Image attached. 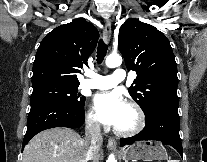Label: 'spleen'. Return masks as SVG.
Masks as SVG:
<instances>
[{
    "label": "spleen",
    "mask_w": 207,
    "mask_h": 162,
    "mask_svg": "<svg viewBox=\"0 0 207 162\" xmlns=\"http://www.w3.org/2000/svg\"><path fill=\"white\" fill-rule=\"evenodd\" d=\"M168 162H179L178 160H168Z\"/></svg>",
    "instance_id": "3e777b00"
}]
</instances>
